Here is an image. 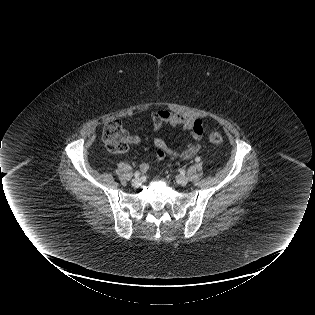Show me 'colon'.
Segmentation results:
<instances>
[{"mask_svg":"<svg viewBox=\"0 0 315 315\" xmlns=\"http://www.w3.org/2000/svg\"><path fill=\"white\" fill-rule=\"evenodd\" d=\"M102 138L107 149L112 153L122 154L128 149V133L118 120H112L105 124ZM208 139L214 145L223 143V137L218 132H211Z\"/></svg>","mask_w":315,"mask_h":315,"instance_id":"1","label":"colon"}]
</instances>
